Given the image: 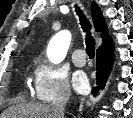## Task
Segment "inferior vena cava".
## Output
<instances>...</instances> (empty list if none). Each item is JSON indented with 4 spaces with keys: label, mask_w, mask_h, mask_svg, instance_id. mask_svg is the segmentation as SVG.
Segmentation results:
<instances>
[{
    "label": "inferior vena cava",
    "mask_w": 133,
    "mask_h": 118,
    "mask_svg": "<svg viewBox=\"0 0 133 118\" xmlns=\"http://www.w3.org/2000/svg\"><path fill=\"white\" fill-rule=\"evenodd\" d=\"M71 93L69 90H62L51 103L53 118H64V110Z\"/></svg>",
    "instance_id": "inferior-vena-cava-1"
}]
</instances>
